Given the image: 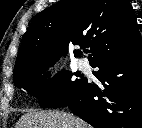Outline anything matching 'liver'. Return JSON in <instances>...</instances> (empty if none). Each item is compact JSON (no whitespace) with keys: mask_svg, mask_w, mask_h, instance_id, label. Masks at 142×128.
Wrapping results in <instances>:
<instances>
[{"mask_svg":"<svg viewBox=\"0 0 142 128\" xmlns=\"http://www.w3.org/2000/svg\"><path fill=\"white\" fill-rule=\"evenodd\" d=\"M16 128H91L79 117L60 111H40L24 114Z\"/></svg>","mask_w":142,"mask_h":128,"instance_id":"obj_1","label":"liver"}]
</instances>
